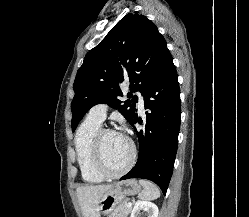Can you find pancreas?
I'll return each instance as SVG.
<instances>
[{
  "mask_svg": "<svg viewBox=\"0 0 249 217\" xmlns=\"http://www.w3.org/2000/svg\"><path fill=\"white\" fill-rule=\"evenodd\" d=\"M127 200L118 205L108 217H127L131 213L132 207L127 208Z\"/></svg>",
  "mask_w": 249,
  "mask_h": 217,
  "instance_id": "obj_1",
  "label": "pancreas"
}]
</instances>
